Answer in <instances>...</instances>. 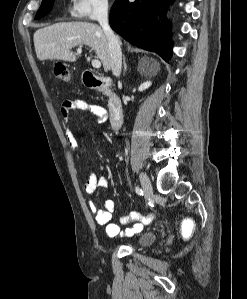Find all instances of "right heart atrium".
Segmentation results:
<instances>
[{"instance_id":"obj_1","label":"right heart atrium","mask_w":247,"mask_h":299,"mask_svg":"<svg viewBox=\"0 0 247 299\" xmlns=\"http://www.w3.org/2000/svg\"><path fill=\"white\" fill-rule=\"evenodd\" d=\"M109 9L108 0H71L69 14L77 19H97Z\"/></svg>"}]
</instances>
